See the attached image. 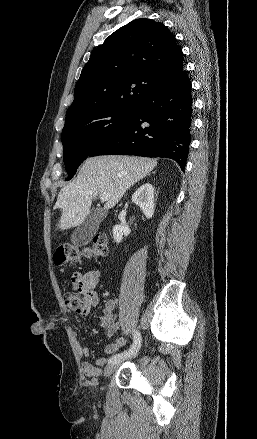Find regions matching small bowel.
I'll use <instances>...</instances> for the list:
<instances>
[{"instance_id": "1", "label": "small bowel", "mask_w": 257, "mask_h": 439, "mask_svg": "<svg viewBox=\"0 0 257 439\" xmlns=\"http://www.w3.org/2000/svg\"><path fill=\"white\" fill-rule=\"evenodd\" d=\"M99 275L96 271H89L86 273L75 272L72 277V284L75 290L81 289L85 294V307L80 313L82 316H87L92 308L99 305L100 298L96 292V286L98 284ZM115 301L108 300L105 302L102 314L100 316V326L105 332L108 339H112L114 335L119 330V324L116 321L114 315ZM127 341L125 337L120 336L112 341H110L104 347L105 354H113L118 352L122 347L126 345ZM81 356L83 359V373L90 378H95L101 375L102 368L108 363L107 358L100 357L94 362L90 361L91 348L89 346H81L80 348Z\"/></svg>"}]
</instances>
